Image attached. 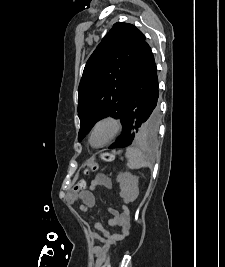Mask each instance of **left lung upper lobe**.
Returning a JSON list of instances; mask_svg holds the SVG:
<instances>
[{
	"label": "left lung upper lobe",
	"mask_w": 225,
	"mask_h": 267,
	"mask_svg": "<svg viewBox=\"0 0 225 267\" xmlns=\"http://www.w3.org/2000/svg\"><path fill=\"white\" fill-rule=\"evenodd\" d=\"M145 42L137 27L118 22L88 59L78 88L79 141L104 117L123 121L127 95ZM157 130H149V122H141L134 140L153 139Z\"/></svg>",
	"instance_id": "obj_1"
}]
</instances>
